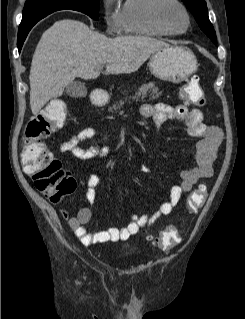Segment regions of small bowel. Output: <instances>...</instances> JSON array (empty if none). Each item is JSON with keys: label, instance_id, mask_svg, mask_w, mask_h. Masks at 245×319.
<instances>
[{"label": "small bowel", "instance_id": "obj_1", "mask_svg": "<svg viewBox=\"0 0 245 319\" xmlns=\"http://www.w3.org/2000/svg\"><path fill=\"white\" fill-rule=\"evenodd\" d=\"M140 115L143 118L153 119L156 126L162 125L167 120L182 122L188 136L199 139L196 146L195 164L182 171L180 184L171 188L169 200L164 201L157 211L150 215L133 214L129 223L123 228H108L92 234L85 228L91 218L89 208L80 209L74 216H70L65 209L61 210V217L68 221L70 228L83 245L124 241L138 233L142 228L151 227L158 218L169 215L176 208L184 193L191 191L200 180L210 176L213 172V162L216 158L218 146L223 139V133L218 127L203 123L201 110L186 105L144 104L140 108ZM90 139L95 141V145L91 148H82L81 144ZM59 150L71 153L82 160L100 158L109 152V148L101 143L96 131L91 127L73 134L68 140L60 144ZM100 184V175L91 174L87 177L85 194L90 203L95 201L96 188Z\"/></svg>", "mask_w": 245, "mask_h": 319}]
</instances>
